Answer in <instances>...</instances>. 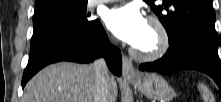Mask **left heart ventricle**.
Listing matches in <instances>:
<instances>
[{"label":"left heart ventricle","mask_w":221,"mask_h":102,"mask_svg":"<svg viewBox=\"0 0 221 102\" xmlns=\"http://www.w3.org/2000/svg\"><path fill=\"white\" fill-rule=\"evenodd\" d=\"M158 37L155 30L148 24L147 30L141 41L135 46L143 51H150L157 45Z\"/></svg>","instance_id":"obj_1"}]
</instances>
